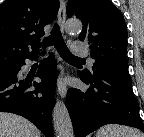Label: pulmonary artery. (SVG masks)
Instances as JSON below:
<instances>
[{
  "label": "pulmonary artery",
  "instance_id": "pulmonary-artery-1",
  "mask_svg": "<svg viewBox=\"0 0 144 137\" xmlns=\"http://www.w3.org/2000/svg\"><path fill=\"white\" fill-rule=\"evenodd\" d=\"M71 47H72V52L74 55H79V56H87L88 52L87 49L84 45V43L79 42V41H74L71 43ZM90 61L93 63L94 60L90 59Z\"/></svg>",
  "mask_w": 144,
  "mask_h": 137
}]
</instances>
